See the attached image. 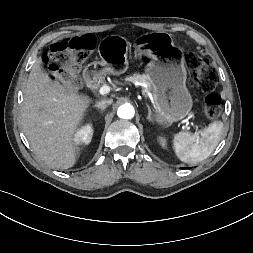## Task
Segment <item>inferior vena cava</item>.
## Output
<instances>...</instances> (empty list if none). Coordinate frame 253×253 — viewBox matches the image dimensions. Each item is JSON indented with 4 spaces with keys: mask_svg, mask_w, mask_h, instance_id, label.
Masks as SVG:
<instances>
[{
    "mask_svg": "<svg viewBox=\"0 0 253 253\" xmlns=\"http://www.w3.org/2000/svg\"><path fill=\"white\" fill-rule=\"evenodd\" d=\"M113 100L112 99H103L101 101H98L96 103V105L100 106V107H107L108 105L112 104Z\"/></svg>",
    "mask_w": 253,
    "mask_h": 253,
    "instance_id": "obj_1",
    "label": "inferior vena cava"
}]
</instances>
